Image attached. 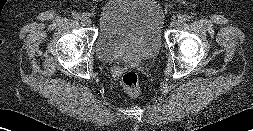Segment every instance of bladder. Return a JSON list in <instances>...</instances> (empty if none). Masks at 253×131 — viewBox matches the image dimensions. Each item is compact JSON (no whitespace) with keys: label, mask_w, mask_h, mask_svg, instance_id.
Returning a JSON list of instances; mask_svg holds the SVG:
<instances>
[{"label":"bladder","mask_w":253,"mask_h":131,"mask_svg":"<svg viewBox=\"0 0 253 131\" xmlns=\"http://www.w3.org/2000/svg\"><path fill=\"white\" fill-rule=\"evenodd\" d=\"M163 22L158 0H108L98 10L95 53L104 62L153 57L163 46Z\"/></svg>","instance_id":"1"}]
</instances>
